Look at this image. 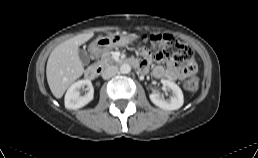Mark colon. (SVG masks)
<instances>
[{
    "label": "colon",
    "instance_id": "5ec220e1",
    "mask_svg": "<svg viewBox=\"0 0 258 158\" xmlns=\"http://www.w3.org/2000/svg\"><path fill=\"white\" fill-rule=\"evenodd\" d=\"M142 41L158 54L164 55L167 53L171 55L181 65H188L194 61L192 49L170 35L144 34ZM182 84L185 90L195 92L199 87V79L194 73H190L183 78Z\"/></svg>",
    "mask_w": 258,
    "mask_h": 158
}]
</instances>
